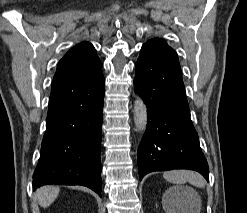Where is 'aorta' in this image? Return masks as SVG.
Returning <instances> with one entry per match:
<instances>
[{"label": "aorta", "instance_id": "obj_1", "mask_svg": "<svg viewBox=\"0 0 247 213\" xmlns=\"http://www.w3.org/2000/svg\"><path fill=\"white\" fill-rule=\"evenodd\" d=\"M134 121L136 129L143 133L147 126V108L140 97H136L134 104Z\"/></svg>", "mask_w": 247, "mask_h": 213}]
</instances>
